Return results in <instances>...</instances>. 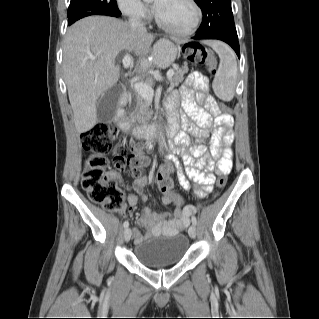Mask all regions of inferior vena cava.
Returning a JSON list of instances; mask_svg holds the SVG:
<instances>
[{
  "mask_svg": "<svg viewBox=\"0 0 319 319\" xmlns=\"http://www.w3.org/2000/svg\"><path fill=\"white\" fill-rule=\"evenodd\" d=\"M129 25H130V27H131L133 30H135V31L146 32V28H145V26L143 25V23H142L139 19H137V18H135V17H131V18L129 19Z\"/></svg>",
  "mask_w": 319,
  "mask_h": 319,
  "instance_id": "inferior-vena-cava-1",
  "label": "inferior vena cava"
}]
</instances>
